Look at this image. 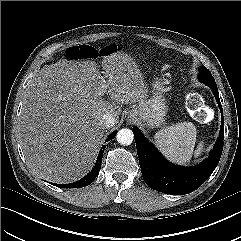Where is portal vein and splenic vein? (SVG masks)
Masks as SVG:
<instances>
[{
	"label": "portal vein and splenic vein",
	"mask_w": 241,
	"mask_h": 241,
	"mask_svg": "<svg viewBox=\"0 0 241 241\" xmlns=\"http://www.w3.org/2000/svg\"><path fill=\"white\" fill-rule=\"evenodd\" d=\"M105 87H106V85H105V84H103V85H102V88H105Z\"/></svg>",
	"instance_id": "portal-vein-and-splenic-vein-1"
}]
</instances>
